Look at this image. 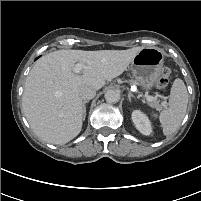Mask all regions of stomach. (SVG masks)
<instances>
[{"instance_id": "1", "label": "stomach", "mask_w": 201, "mask_h": 201, "mask_svg": "<svg viewBox=\"0 0 201 201\" xmlns=\"http://www.w3.org/2000/svg\"><path fill=\"white\" fill-rule=\"evenodd\" d=\"M164 56L157 48H142L131 61V72L135 81L149 90L161 75Z\"/></svg>"}]
</instances>
